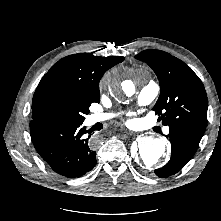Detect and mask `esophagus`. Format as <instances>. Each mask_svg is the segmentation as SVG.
Returning <instances> with one entry per match:
<instances>
[{"mask_svg":"<svg viewBox=\"0 0 221 221\" xmlns=\"http://www.w3.org/2000/svg\"><path fill=\"white\" fill-rule=\"evenodd\" d=\"M124 133H125L124 137L131 136L134 134L133 132H130V131H125Z\"/></svg>","mask_w":221,"mask_h":221,"instance_id":"esophagus-1","label":"esophagus"}]
</instances>
